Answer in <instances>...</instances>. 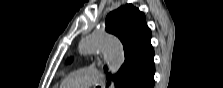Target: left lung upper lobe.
Listing matches in <instances>:
<instances>
[{"label":"left lung upper lobe","instance_id":"1","mask_svg":"<svg viewBox=\"0 0 223 88\" xmlns=\"http://www.w3.org/2000/svg\"><path fill=\"white\" fill-rule=\"evenodd\" d=\"M105 24V30L121 40L125 53V62L114 77L115 83L133 71L143 70L153 61L151 30L147 26L144 13L138 8L132 4L121 6L107 15ZM71 61L69 59L68 63ZM107 78L110 81L111 74Z\"/></svg>","mask_w":223,"mask_h":88}]
</instances>
